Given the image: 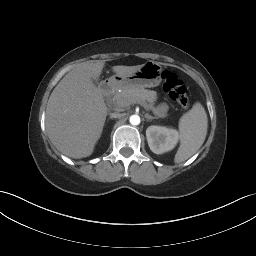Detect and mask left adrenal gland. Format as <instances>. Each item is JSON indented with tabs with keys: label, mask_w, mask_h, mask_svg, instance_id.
Segmentation results:
<instances>
[{
	"label": "left adrenal gland",
	"mask_w": 256,
	"mask_h": 256,
	"mask_svg": "<svg viewBox=\"0 0 256 256\" xmlns=\"http://www.w3.org/2000/svg\"><path fill=\"white\" fill-rule=\"evenodd\" d=\"M145 118L147 119V121H150L152 119H157V117L151 116L148 113L145 114Z\"/></svg>",
	"instance_id": "left-adrenal-gland-1"
}]
</instances>
